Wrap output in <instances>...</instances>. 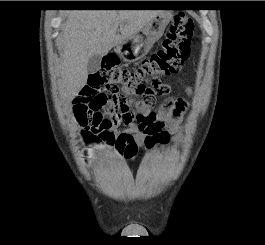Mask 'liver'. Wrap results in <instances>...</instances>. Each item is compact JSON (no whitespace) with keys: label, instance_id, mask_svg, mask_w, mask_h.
I'll list each match as a JSON object with an SVG mask.
<instances>
[{"label":"liver","instance_id":"obj_1","mask_svg":"<svg viewBox=\"0 0 265 245\" xmlns=\"http://www.w3.org/2000/svg\"><path fill=\"white\" fill-rule=\"evenodd\" d=\"M159 10H72L60 44L62 83L67 97L75 98L87 82V63L106 55L115 45L138 33ZM120 33H117L118 28Z\"/></svg>","mask_w":265,"mask_h":245}]
</instances>
